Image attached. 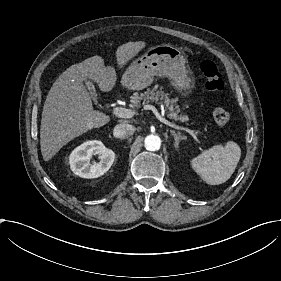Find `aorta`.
Masks as SVG:
<instances>
[{
  "label": "aorta",
  "mask_w": 281,
  "mask_h": 281,
  "mask_svg": "<svg viewBox=\"0 0 281 281\" xmlns=\"http://www.w3.org/2000/svg\"><path fill=\"white\" fill-rule=\"evenodd\" d=\"M144 143H145V148L148 151H156L160 149L161 139L157 135L150 134L146 136Z\"/></svg>",
  "instance_id": "762f6f07"
}]
</instances>
